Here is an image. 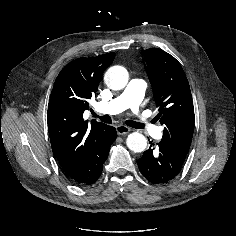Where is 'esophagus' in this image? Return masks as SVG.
Segmentation results:
<instances>
[{
    "label": "esophagus",
    "instance_id": "1",
    "mask_svg": "<svg viewBox=\"0 0 236 236\" xmlns=\"http://www.w3.org/2000/svg\"><path fill=\"white\" fill-rule=\"evenodd\" d=\"M116 131H117V134L124 135L130 132V128L125 125H118L116 126Z\"/></svg>",
    "mask_w": 236,
    "mask_h": 236
}]
</instances>
